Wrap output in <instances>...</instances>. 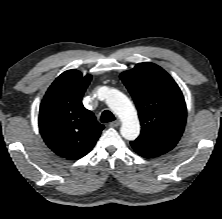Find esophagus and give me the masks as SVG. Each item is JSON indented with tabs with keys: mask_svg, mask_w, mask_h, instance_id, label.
<instances>
[{
	"mask_svg": "<svg viewBox=\"0 0 222 219\" xmlns=\"http://www.w3.org/2000/svg\"><path fill=\"white\" fill-rule=\"evenodd\" d=\"M120 125L119 120H115L109 124L110 127H118Z\"/></svg>",
	"mask_w": 222,
	"mask_h": 219,
	"instance_id": "34e87169",
	"label": "esophagus"
}]
</instances>
